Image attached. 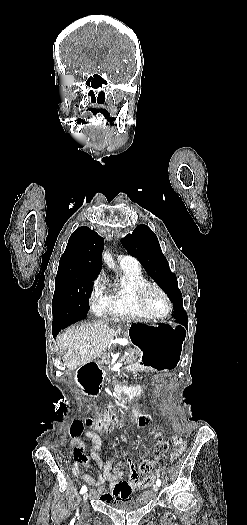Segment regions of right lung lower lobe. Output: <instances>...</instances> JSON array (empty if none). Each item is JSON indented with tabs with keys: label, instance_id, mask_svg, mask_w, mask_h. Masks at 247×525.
<instances>
[{
	"label": "right lung lower lobe",
	"instance_id": "1",
	"mask_svg": "<svg viewBox=\"0 0 247 525\" xmlns=\"http://www.w3.org/2000/svg\"><path fill=\"white\" fill-rule=\"evenodd\" d=\"M66 326L64 325H57V326H52V334L53 336L55 337L58 332L62 329V328H65Z\"/></svg>",
	"mask_w": 247,
	"mask_h": 525
}]
</instances>
